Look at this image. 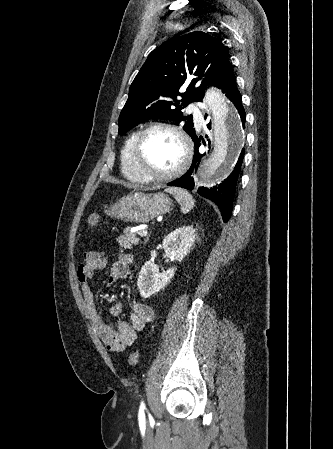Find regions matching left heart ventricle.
Listing matches in <instances>:
<instances>
[{"instance_id":"1","label":"left heart ventricle","mask_w":333,"mask_h":449,"mask_svg":"<svg viewBox=\"0 0 333 449\" xmlns=\"http://www.w3.org/2000/svg\"><path fill=\"white\" fill-rule=\"evenodd\" d=\"M182 157L180 141L167 131L154 130L143 142L141 165L148 173L156 175L168 173L179 165Z\"/></svg>"}]
</instances>
